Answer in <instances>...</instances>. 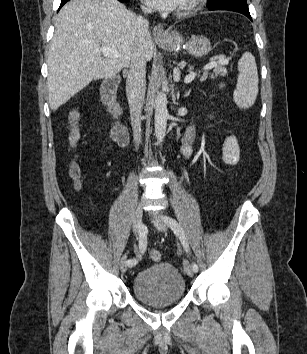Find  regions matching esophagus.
<instances>
[{
    "mask_svg": "<svg viewBox=\"0 0 307 354\" xmlns=\"http://www.w3.org/2000/svg\"><path fill=\"white\" fill-rule=\"evenodd\" d=\"M153 37L155 40H164L167 38V32L162 24H157L153 29Z\"/></svg>",
    "mask_w": 307,
    "mask_h": 354,
    "instance_id": "1",
    "label": "esophagus"
}]
</instances>
